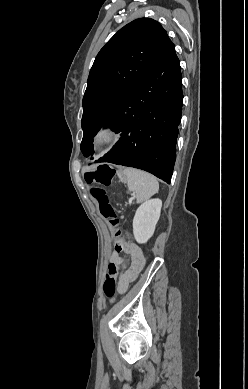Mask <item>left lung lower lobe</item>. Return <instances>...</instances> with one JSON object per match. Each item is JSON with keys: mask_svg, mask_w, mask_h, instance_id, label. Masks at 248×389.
I'll return each mask as SVG.
<instances>
[{"mask_svg": "<svg viewBox=\"0 0 248 389\" xmlns=\"http://www.w3.org/2000/svg\"><path fill=\"white\" fill-rule=\"evenodd\" d=\"M182 102L180 64L172 44L104 124L122 133L97 162L139 168L170 183Z\"/></svg>", "mask_w": 248, "mask_h": 389, "instance_id": "left-lung-lower-lobe-1", "label": "left lung lower lobe"}]
</instances>
